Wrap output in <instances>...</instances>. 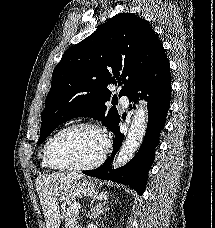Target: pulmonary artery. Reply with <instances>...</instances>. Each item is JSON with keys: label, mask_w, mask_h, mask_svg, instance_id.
I'll return each instance as SVG.
<instances>
[{"label": "pulmonary artery", "mask_w": 215, "mask_h": 228, "mask_svg": "<svg viewBox=\"0 0 215 228\" xmlns=\"http://www.w3.org/2000/svg\"><path fill=\"white\" fill-rule=\"evenodd\" d=\"M118 102H121L123 104L121 106L122 110H129L130 106L128 105V102H131V97H127V96L118 97Z\"/></svg>", "instance_id": "e3ab8cb5"}]
</instances>
